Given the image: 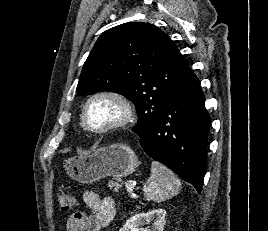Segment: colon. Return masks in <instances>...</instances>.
I'll return each instance as SVG.
<instances>
[{"mask_svg":"<svg viewBox=\"0 0 268 231\" xmlns=\"http://www.w3.org/2000/svg\"><path fill=\"white\" fill-rule=\"evenodd\" d=\"M76 204V198L73 194L62 192L58 196V206L62 213H69Z\"/></svg>","mask_w":268,"mask_h":231,"instance_id":"obj_1","label":"colon"}]
</instances>
